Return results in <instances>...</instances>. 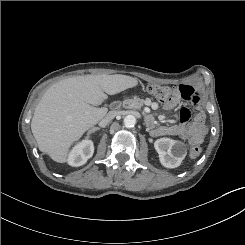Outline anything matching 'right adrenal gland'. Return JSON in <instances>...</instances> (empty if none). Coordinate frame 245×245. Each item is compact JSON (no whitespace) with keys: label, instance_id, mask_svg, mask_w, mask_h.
Segmentation results:
<instances>
[{"label":"right adrenal gland","instance_id":"1","mask_svg":"<svg viewBox=\"0 0 245 245\" xmlns=\"http://www.w3.org/2000/svg\"><path fill=\"white\" fill-rule=\"evenodd\" d=\"M98 130H100V128H98V127H93L92 129H90V130L88 131V136H89L91 133H93V132H95V131H98Z\"/></svg>","mask_w":245,"mask_h":245}]
</instances>
